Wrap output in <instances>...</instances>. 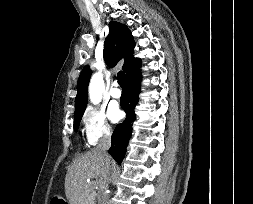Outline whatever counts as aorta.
<instances>
[{
  "label": "aorta",
  "mask_w": 253,
  "mask_h": 204,
  "mask_svg": "<svg viewBox=\"0 0 253 204\" xmlns=\"http://www.w3.org/2000/svg\"><path fill=\"white\" fill-rule=\"evenodd\" d=\"M104 87L102 75L100 73H95L89 84V97L93 104H98L101 101Z\"/></svg>",
  "instance_id": "762f6f07"
}]
</instances>
